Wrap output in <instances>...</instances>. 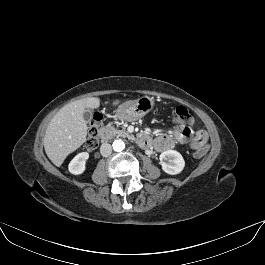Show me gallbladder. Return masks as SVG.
<instances>
[{
	"instance_id": "bac80fb5",
	"label": "gallbladder",
	"mask_w": 265,
	"mask_h": 265,
	"mask_svg": "<svg viewBox=\"0 0 265 265\" xmlns=\"http://www.w3.org/2000/svg\"><path fill=\"white\" fill-rule=\"evenodd\" d=\"M83 117H84V119L87 122H90L91 119H92V112H91V110L90 109H85L84 114H83Z\"/></svg>"
}]
</instances>
